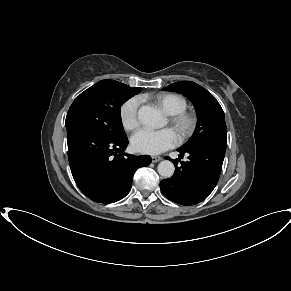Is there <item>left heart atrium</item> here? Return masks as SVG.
<instances>
[{
	"label": "left heart atrium",
	"mask_w": 291,
	"mask_h": 291,
	"mask_svg": "<svg viewBox=\"0 0 291 291\" xmlns=\"http://www.w3.org/2000/svg\"><path fill=\"white\" fill-rule=\"evenodd\" d=\"M178 144L176 132L170 128L161 130L140 129L131 138L132 148L140 153L156 155Z\"/></svg>",
	"instance_id": "left-heart-atrium-1"
}]
</instances>
